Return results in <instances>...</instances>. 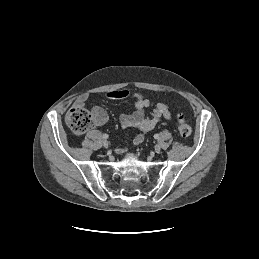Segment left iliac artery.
I'll return each mask as SVG.
<instances>
[{
	"label": "left iliac artery",
	"mask_w": 259,
	"mask_h": 259,
	"mask_svg": "<svg viewBox=\"0 0 259 259\" xmlns=\"http://www.w3.org/2000/svg\"><path fill=\"white\" fill-rule=\"evenodd\" d=\"M154 138H155V139H158V138H159V135H158V134H155V135H154Z\"/></svg>",
	"instance_id": "1"
}]
</instances>
